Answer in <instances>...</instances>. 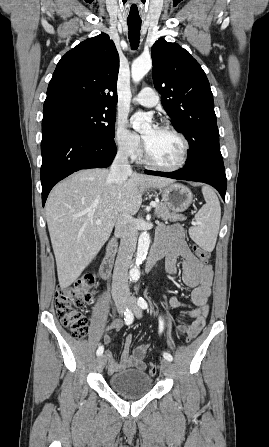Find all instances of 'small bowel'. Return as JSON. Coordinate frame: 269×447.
<instances>
[{
	"instance_id": "c3829d8e",
	"label": "small bowel",
	"mask_w": 269,
	"mask_h": 447,
	"mask_svg": "<svg viewBox=\"0 0 269 447\" xmlns=\"http://www.w3.org/2000/svg\"><path fill=\"white\" fill-rule=\"evenodd\" d=\"M154 250L166 252V270L170 276H174L177 270L178 259L181 260L182 282L192 289L190 303L182 301L179 297L173 296L169 300L172 308H186L187 315L190 317L195 328H202L208 314V299L211 296L213 284V269L210 265L202 263L191 252L185 240V233L180 225H173L168 228H161L156 237ZM116 323L112 322L107 328H116ZM186 328L180 327L179 332ZM101 341L109 346L113 339L105 334ZM132 339L128 337L124 342L120 360L117 361L111 350L106 352L108 360V370L111 373L119 372L126 368H144V358L148 350V345L137 346L133 351Z\"/></svg>"
}]
</instances>
